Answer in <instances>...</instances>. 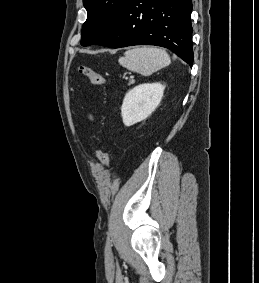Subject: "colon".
<instances>
[{
    "label": "colon",
    "instance_id": "obj_1",
    "mask_svg": "<svg viewBox=\"0 0 259 283\" xmlns=\"http://www.w3.org/2000/svg\"><path fill=\"white\" fill-rule=\"evenodd\" d=\"M79 72L83 76H85L90 81L91 84L95 86H102L106 83V80L103 77V75L88 65H81L79 67ZM98 159L105 168L109 169L110 159L108 153L105 150L102 149L98 150Z\"/></svg>",
    "mask_w": 259,
    "mask_h": 283
}]
</instances>
